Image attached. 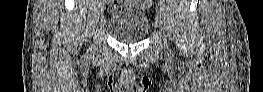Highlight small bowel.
Listing matches in <instances>:
<instances>
[{"mask_svg":"<svg viewBox=\"0 0 263 92\" xmlns=\"http://www.w3.org/2000/svg\"><path fill=\"white\" fill-rule=\"evenodd\" d=\"M137 4L146 5L149 1H136Z\"/></svg>","mask_w":263,"mask_h":92,"instance_id":"obj_1","label":"small bowel"}]
</instances>
